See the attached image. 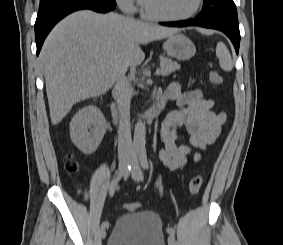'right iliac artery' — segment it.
Returning <instances> with one entry per match:
<instances>
[{
	"label": "right iliac artery",
	"instance_id": "82829eb1",
	"mask_svg": "<svg viewBox=\"0 0 283 245\" xmlns=\"http://www.w3.org/2000/svg\"><path fill=\"white\" fill-rule=\"evenodd\" d=\"M137 153H138V151H135V150H134L133 156H136ZM131 167H132V164H131V163L128 164V166L126 167V169H125L124 172L130 171V170H131ZM124 172H123V173H124ZM123 173H122V174H118V175L112 180V182H111V184H110V187H109V194H110V196H113V195H114V192H115V190H116L117 187H118V184H119V182H120V180H121V178H122V176H123ZM108 225H109V223H108L107 221H104V222L102 223V226H103V227H108Z\"/></svg>",
	"mask_w": 283,
	"mask_h": 245
}]
</instances>
